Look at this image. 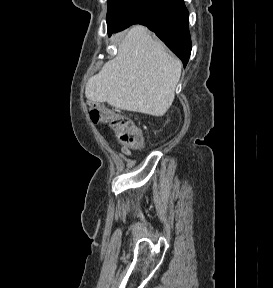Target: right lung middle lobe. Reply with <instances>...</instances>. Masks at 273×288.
Wrapping results in <instances>:
<instances>
[{
    "instance_id": "1",
    "label": "right lung middle lobe",
    "mask_w": 273,
    "mask_h": 288,
    "mask_svg": "<svg viewBox=\"0 0 273 288\" xmlns=\"http://www.w3.org/2000/svg\"><path fill=\"white\" fill-rule=\"evenodd\" d=\"M136 1L137 0H108V12L106 17L108 31L116 25Z\"/></svg>"
}]
</instances>
